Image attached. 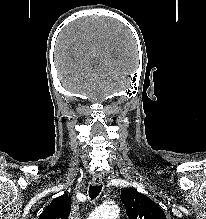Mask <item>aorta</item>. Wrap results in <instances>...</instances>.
I'll return each mask as SVG.
<instances>
[{
	"label": "aorta",
	"mask_w": 206,
	"mask_h": 219,
	"mask_svg": "<svg viewBox=\"0 0 206 219\" xmlns=\"http://www.w3.org/2000/svg\"><path fill=\"white\" fill-rule=\"evenodd\" d=\"M119 207L116 204L108 203L95 209L88 219H117Z\"/></svg>",
	"instance_id": "obj_1"
}]
</instances>
